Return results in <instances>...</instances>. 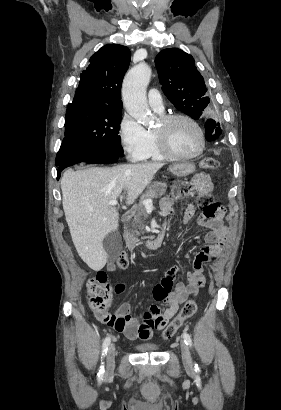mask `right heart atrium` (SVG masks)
I'll use <instances>...</instances> for the list:
<instances>
[{"instance_id": "obj_1", "label": "right heart atrium", "mask_w": 281, "mask_h": 410, "mask_svg": "<svg viewBox=\"0 0 281 410\" xmlns=\"http://www.w3.org/2000/svg\"><path fill=\"white\" fill-rule=\"evenodd\" d=\"M119 139L131 161H139L148 143V131L133 117L125 114L119 124Z\"/></svg>"}]
</instances>
